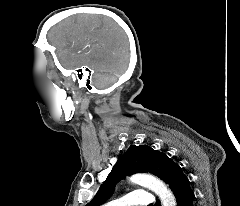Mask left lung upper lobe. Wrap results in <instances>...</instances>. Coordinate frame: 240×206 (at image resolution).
<instances>
[{
	"instance_id": "1",
	"label": "left lung upper lobe",
	"mask_w": 240,
	"mask_h": 206,
	"mask_svg": "<svg viewBox=\"0 0 240 206\" xmlns=\"http://www.w3.org/2000/svg\"><path fill=\"white\" fill-rule=\"evenodd\" d=\"M172 164L174 162L166 154L147 145H131L127 152L118 159L96 196L85 206H100L106 202L112 195L116 183L127 175L150 172L165 182Z\"/></svg>"
}]
</instances>
